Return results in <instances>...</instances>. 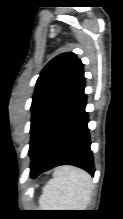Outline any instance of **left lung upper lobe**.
<instances>
[{
  "label": "left lung upper lobe",
  "mask_w": 123,
  "mask_h": 219,
  "mask_svg": "<svg viewBox=\"0 0 123 219\" xmlns=\"http://www.w3.org/2000/svg\"><path fill=\"white\" fill-rule=\"evenodd\" d=\"M84 80L83 64L72 52L58 55L44 67L31 105L30 155L45 123Z\"/></svg>",
  "instance_id": "5c2ea615"
}]
</instances>
